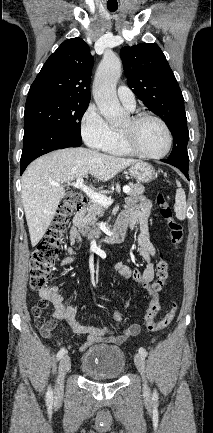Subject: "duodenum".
Here are the masks:
<instances>
[{
    "mask_svg": "<svg viewBox=\"0 0 213 433\" xmlns=\"http://www.w3.org/2000/svg\"><path fill=\"white\" fill-rule=\"evenodd\" d=\"M86 203H87V200L85 199V201L83 203V206H82V208L79 211H82L84 209ZM75 226L76 227L79 226V218L78 217H76V219H75ZM129 229L130 228H128L126 226H116V228L114 229V231L110 235H108V236H106L104 238H100L98 235H91L89 237V239L93 240V241L102 240V241H104L105 243H108V244H118V243H121L124 240V238L126 236V233H127V231Z\"/></svg>",
    "mask_w": 213,
    "mask_h": 433,
    "instance_id": "obj_1",
    "label": "duodenum"
}]
</instances>
